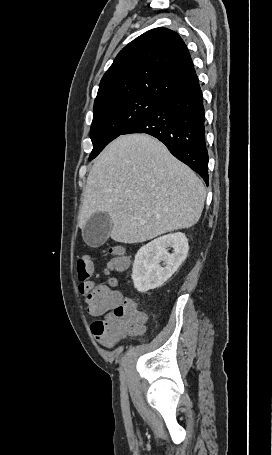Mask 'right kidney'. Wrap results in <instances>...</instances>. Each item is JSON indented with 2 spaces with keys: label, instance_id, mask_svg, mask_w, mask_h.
<instances>
[{
  "label": "right kidney",
  "instance_id": "1",
  "mask_svg": "<svg viewBox=\"0 0 272 455\" xmlns=\"http://www.w3.org/2000/svg\"><path fill=\"white\" fill-rule=\"evenodd\" d=\"M169 247L173 248V253L168 252ZM188 250V239L181 232L159 237L142 246L135 255L132 269L134 287L139 292H147L162 286L184 262Z\"/></svg>",
  "mask_w": 272,
  "mask_h": 455
}]
</instances>
